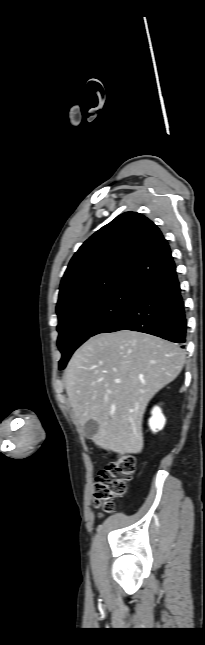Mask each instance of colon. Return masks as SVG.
Returning <instances> with one entry per match:
<instances>
[{
	"mask_svg": "<svg viewBox=\"0 0 205 645\" xmlns=\"http://www.w3.org/2000/svg\"><path fill=\"white\" fill-rule=\"evenodd\" d=\"M135 471V459L131 455L118 454L115 460L101 470L95 482V504L104 512L114 510L113 498L126 491V484Z\"/></svg>",
	"mask_w": 205,
	"mask_h": 645,
	"instance_id": "1",
	"label": "colon"
}]
</instances>
